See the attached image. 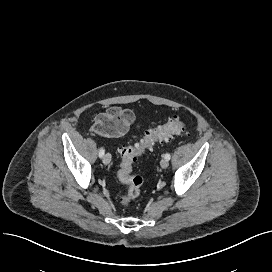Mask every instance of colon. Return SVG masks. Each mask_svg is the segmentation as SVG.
<instances>
[{
    "label": "colon",
    "mask_w": 272,
    "mask_h": 272,
    "mask_svg": "<svg viewBox=\"0 0 272 272\" xmlns=\"http://www.w3.org/2000/svg\"><path fill=\"white\" fill-rule=\"evenodd\" d=\"M129 124L128 110L112 107L95 118L93 130L102 136H120L126 132ZM186 130V122L181 117L174 116L166 123L146 130L141 139L131 141L121 149L118 178L127 186L126 193L119 197L122 205H128L140 195L143 179L133 174V165L138 157L152 150L156 143L168 142L173 135Z\"/></svg>",
    "instance_id": "1"
}]
</instances>
